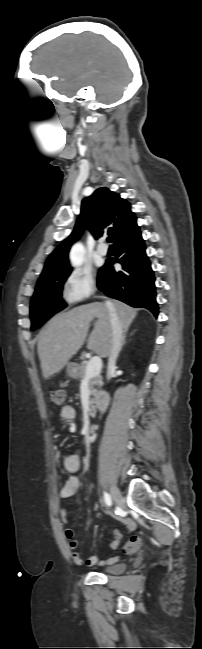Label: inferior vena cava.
Listing matches in <instances>:
<instances>
[{
	"label": "inferior vena cava",
	"mask_w": 202,
	"mask_h": 649,
	"mask_svg": "<svg viewBox=\"0 0 202 649\" xmlns=\"http://www.w3.org/2000/svg\"><path fill=\"white\" fill-rule=\"evenodd\" d=\"M106 305L109 309L110 324L112 330L111 348L108 356V368H107L108 369L107 378H109L111 376L112 371L115 369L116 359L120 352L122 338H123V327L111 303L106 302Z\"/></svg>",
	"instance_id": "1"
}]
</instances>
